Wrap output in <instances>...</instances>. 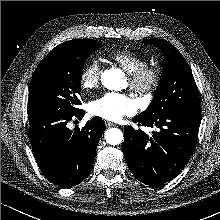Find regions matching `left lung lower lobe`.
Listing matches in <instances>:
<instances>
[{"mask_svg": "<svg viewBox=\"0 0 220 220\" xmlns=\"http://www.w3.org/2000/svg\"><path fill=\"white\" fill-rule=\"evenodd\" d=\"M133 121L159 128L152 136L131 126L124 129V156L133 175L151 186L176 177L194 152L201 110L174 109L154 117L139 114Z\"/></svg>", "mask_w": 220, "mask_h": 220, "instance_id": "0a47b994", "label": "left lung lower lobe"}]
</instances>
